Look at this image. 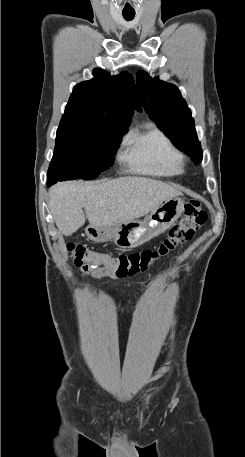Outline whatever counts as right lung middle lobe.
<instances>
[{
	"label": "right lung middle lobe",
	"instance_id": "1",
	"mask_svg": "<svg viewBox=\"0 0 245 457\" xmlns=\"http://www.w3.org/2000/svg\"><path fill=\"white\" fill-rule=\"evenodd\" d=\"M128 123L64 118L57 130L48 186L60 180L95 179L113 164V156Z\"/></svg>",
	"mask_w": 245,
	"mask_h": 457
}]
</instances>
